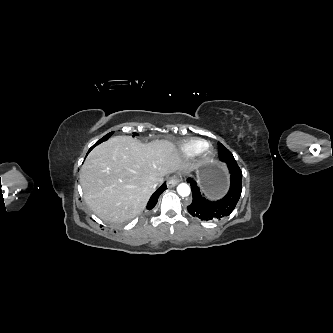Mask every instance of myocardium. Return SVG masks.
Masks as SVG:
<instances>
[{
  "instance_id": "myocardium-1",
  "label": "myocardium",
  "mask_w": 333,
  "mask_h": 333,
  "mask_svg": "<svg viewBox=\"0 0 333 333\" xmlns=\"http://www.w3.org/2000/svg\"><path fill=\"white\" fill-rule=\"evenodd\" d=\"M200 154L201 160L207 161L214 157V150L211 147L207 146Z\"/></svg>"
}]
</instances>
